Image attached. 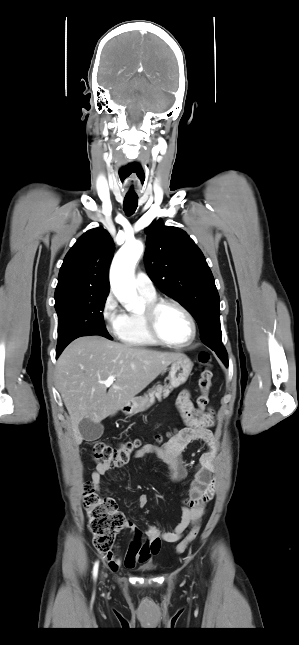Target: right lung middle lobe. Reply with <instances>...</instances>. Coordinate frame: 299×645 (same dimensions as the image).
Wrapping results in <instances>:
<instances>
[{
	"label": "right lung middle lobe",
	"mask_w": 299,
	"mask_h": 645,
	"mask_svg": "<svg viewBox=\"0 0 299 645\" xmlns=\"http://www.w3.org/2000/svg\"><path fill=\"white\" fill-rule=\"evenodd\" d=\"M108 294L66 297L55 304L58 314L57 350L62 351L81 336L100 335L112 339L103 321V309Z\"/></svg>",
	"instance_id": "right-lung-middle-lobe-1"
}]
</instances>
